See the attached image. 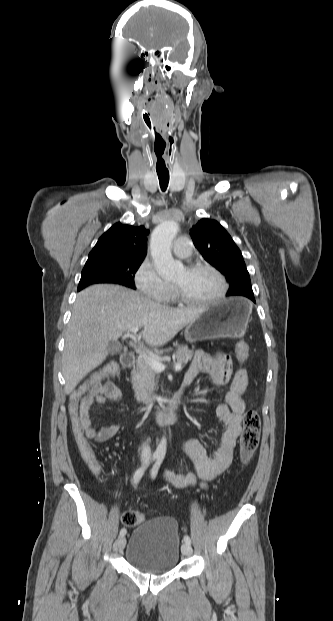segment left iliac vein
I'll return each mask as SVG.
<instances>
[{"instance_id":"4c4485c4","label":"left iliac vein","mask_w":333,"mask_h":621,"mask_svg":"<svg viewBox=\"0 0 333 621\" xmlns=\"http://www.w3.org/2000/svg\"><path fill=\"white\" fill-rule=\"evenodd\" d=\"M181 551H182V554L185 556H190L192 555V552H193L192 547L186 543L182 544Z\"/></svg>"}]
</instances>
